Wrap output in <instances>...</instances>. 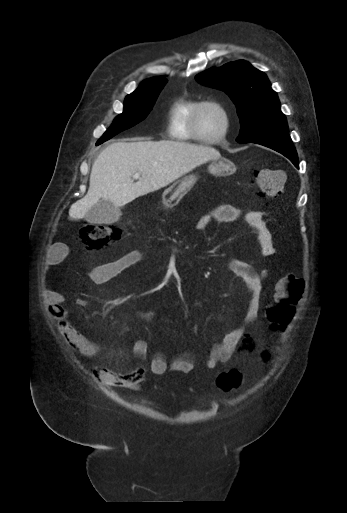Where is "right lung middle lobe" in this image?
<instances>
[{
    "label": "right lung middle lobe",
    "instance_id": "obj_1",
    "mask_svg": "<svg viewBox=\"0 0 347 513\" xmlns=\"http://www.w3.org/2000/svg\"><path fill=\"white\" fill-rule=\"evenodd\" d=\"M166 82L165 78L142 82L137 90L125 98L123 113L114 119L110 128L98 142L101 144L142 121L151 111Z\"/></svg>",
    "mask_w": 347,
    "mask_h": 513
}]
</instances>
